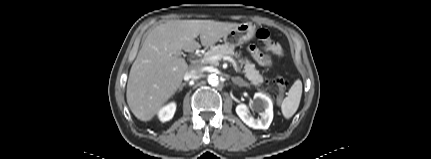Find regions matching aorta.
<instances>
[{
  "label": "aorta",
  "instance_id": "1",
  "mask_svg": "<svg viewBox=\"0 0 431 159\" xmlns=\"http://www.w3.org/2000/svg\"><path fill=\"white\" fill-rule=\"evenodd\" d=\"M207 80L211 86H217L219 84L218 76H216L215 74L209 75Z\"/></svg>",
  "mask_w": 431,
  "mask_h": 159
}]
</instances>
